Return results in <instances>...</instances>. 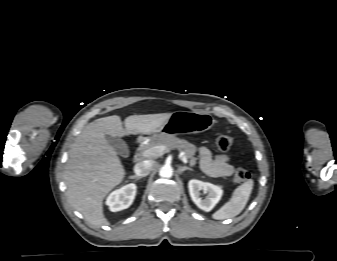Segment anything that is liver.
<instances>
[{
    "mask_svg": "<svg viewBox=\"0 0 337 261\" xmlns=\"http://www.w3.org/2000/svg\"><path fill=\"white\" fill-rule=\"evenodd\" d=\"M172 113L132 115L124 120L117 115L97 119L85 126L73 143L64 172L66 194L71 206L93 226L109 224L103 213V200L125 175L116 150L105 135L151 134Z\"/></svg>",
    "mask_w": 337,
    "mask_h": 261,
    "instance_id": "1",
    "label": "liver"
}]
</instances>
